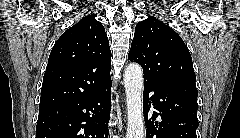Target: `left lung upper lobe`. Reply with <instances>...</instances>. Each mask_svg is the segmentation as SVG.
Segmentation results:
<instances>
[{"mask_svg":"<svg viewBox=\"0 0 240 138\" xmlns=\"http://www.w3.org/2000/svg\"><path fill=\"white\" fill-rule=\"evenodd\" d=\"M128 58L142 66L147 84L196 86L192 58L184 41L152 16L136 25Z\"/></svg>","mask_w":240,"mask_h":138,"instance_id":"1","label":"left lung upper lobe"}]
</instances>
